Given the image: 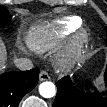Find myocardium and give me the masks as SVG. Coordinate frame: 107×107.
<instances>
[{
    "label": "myocardium",
    "mask_w": 107,
    "mask_h": 107,
    "mask_svg": "<svg viewBox=\"0 0 107 107\" xmlns=\"http://www.w3.org/2000/svg\"><path fill=\"white\" fill-rule=\"evenodd\" d=\"M89 37L90 34L86 28L78 29L56 55V66L61 70H67L79 62L85 53Z\"/></svg>",
    "instance_id": "f54148a6"
}]
</instances>
